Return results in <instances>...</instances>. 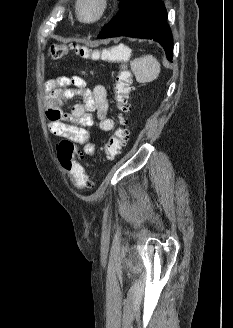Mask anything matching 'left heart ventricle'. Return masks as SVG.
<instances>
[{"instance_id": "1", "label": "left heart ventricle", "mask_w": 233, "mask_h": 328, "mask_svg": "<svg viewBox=\"0 0 233 328\" xmlns=\"http://www.w3.org/2000/svg\"><path fill=\"white\" fill-rule=\"evenodd\" d=\"M98 10L97 0H85L83 3V15L85 18L92 17Z\"/></svg>"}]
</instances>
